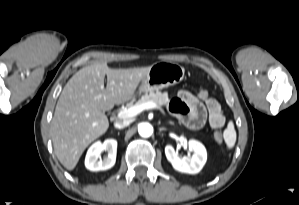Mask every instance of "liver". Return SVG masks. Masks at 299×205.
Instances as JSON below:
<instances>
[{
  "instance_id": "liver-1",
  "label": "liver",
  "mask_w": 299,
  "mask_h": 205,
  "mask_svg": "<svg viewBox=\"0 0 299 205\" xmlns=\"http://www.w3.org/2000/svg\"><path fill=\"white\" fill-rule=\"evenodd\" d=\"M150 67L112 69L105 62L94 63L69 79L51 122L54 152L67 170H73L87 146L107 131L104 111L131 100Z\"/></svg>"
}]
</instances>
